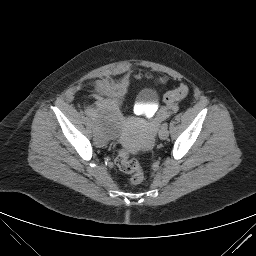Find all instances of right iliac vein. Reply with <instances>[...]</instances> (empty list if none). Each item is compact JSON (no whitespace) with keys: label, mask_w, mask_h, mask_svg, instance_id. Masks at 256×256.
<instances>
[{"label":"right iliac vein","mask_w":256,"mask_h":256,"mask_svg":"<svg viewBox=\"0 0 256 256\" xmlns=\"http://www.w3.org/2000/svg\"><path fill=\"white\" fill-rule=\"evenodd\" d=\"M88 120H89L90 122H94V121L96 120V117H95L94 115H90V116L88 117Z\"/></svg>","instance_id":"63e3f726"}]
</instances>
